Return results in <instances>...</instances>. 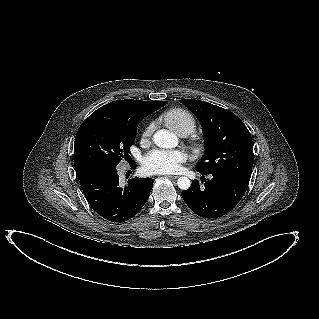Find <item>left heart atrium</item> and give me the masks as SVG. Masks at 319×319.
<instances>
[{
  "instance_id": "obj_1",
  "label": "left heart atrium",
  "mask_w": 319,
  "mask_h": 319,
  "mask_svg": "<svg viewBox=\"0 0 319 319\" xmlns=\"http://www.w3.org/2000/svg\"><path fill=\"white\" fill-rule=\"evenodd\" d=\"M184 159L179 150H152L142 158L141 165L148 174H169L176 172Z\"/></svg>"
}]
</instances>
